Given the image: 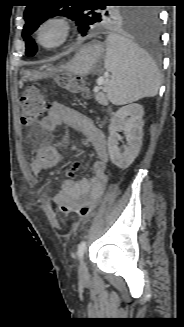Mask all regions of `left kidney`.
Here are the masks:
<instances>
[{"label":"left kidney","mask_w":184,"mask_h":327,"mask_svg":"<svg viewBox=\"0 0 184 327\" xmlns=\"http://www.w3.org/2000/svg\"><path fill=\"white\" fill-rule=\"evenodd\" d=\"M143 106L137 103L119 108L109 125L108 150L113 164L128 168L140 152L143 137ZM118 131L127 132V146L122 153L118 147Z\"/></svg>","instance_id":"1"}]
</instances>
